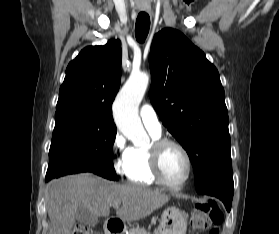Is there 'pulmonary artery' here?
I'll use <instances>...</instances> for the list:
<instances>
[{
  "label": "pulmonary artery",
  "instance_id": "1",
  "mask_svg": "<svg viewBox=\"0 0 279 234\" xmlns=\"http://www.w3.org/2000/svg\"><path fill=\"white\" fill-rule=\"evenodd\" d=\"M140 118L149 132L157 135L161 134V123L154 107L150 103L142 105L140 109Z\"/></svg>",
  "mask_w": 279,
  "mask_h": 234
}]
</instances>
